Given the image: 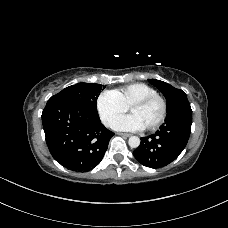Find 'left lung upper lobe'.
<instances>
[{
	"label": "left lung upper lobe",
	"mask_w": 228,
	"mask_h": 228,
	"mask_svg": "<svg viewBox=\"0 0 228 228\" xmlns=\"http://www.w3.org/2000/svg\"><path fill=\"white\" fill-rule=\"evenodd\" d=\"M149 82L157 87L165 96L167 102V113L174 112L178 115L181 112V104L188 102L187 95L182 90L177 89L166 82L156 79H149Z\"/></svg>",
	"instance_id": "5c2ea615"
}]
</instances>
